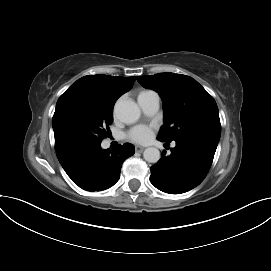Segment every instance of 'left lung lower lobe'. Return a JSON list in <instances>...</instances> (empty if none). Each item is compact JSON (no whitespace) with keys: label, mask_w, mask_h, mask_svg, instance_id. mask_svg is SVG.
Instances as JSON below:
<instances>
[{"label":"left lung lower lobe","mask_w":271,"mask_h":271,"mask_svg":"<svg viewBox=\"0 0 271 271\" xmlns=\"http://www.w3.org/2000/svg\"><path fill=\"white\" fill-rule=\"evenodd\" d=\"M175 142L171 155L166 157L163 153L151 167V183L169 194H181L198 186L211 167L218 145L214 139L195 136H186Z\"/></svg>","instance_id":"left-lung-lower-lobe-1"}]
</instances>
